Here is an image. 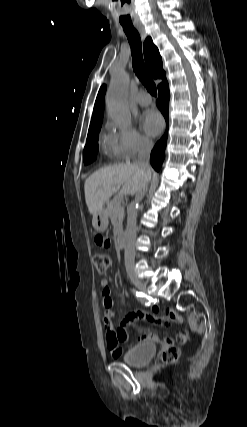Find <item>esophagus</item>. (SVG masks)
<instances>
[{"label": "esophagus", "mask_w": 247, "mask_h": 427, "mask_svg": "<svg viewBox=\"0 0 247 427\" xmlns=\"http://www.w3.org/2000/svg\"><path fill=\"white\" fill-rule=\"evenodd\" d=\"M136 29L140 33L142 39L145 40L147 37V33L145 31V28L142 25H136Z\"/></svg>", "instance_id": "obj_1"}]
</instances>
